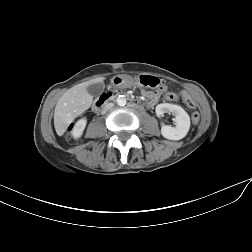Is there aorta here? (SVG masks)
Segmentation results:
<instances>
[{"instance_id":"aorta-1","label":"aorta","mask_w":252,"mask_h":252,"mask_svg":"<svg viewBox=\"0 0 252 252\" xmlns=\"http://www.w3.org/2000/svg\"><path fill=\"white\" fill-rule=\"evenodd\" d=\"M116 102H117V104H118L119 106H124V105L126 104L127 100H126L125 96L119 95V96L117 97V99H116Z\"/></svg>"}]
</instances>
